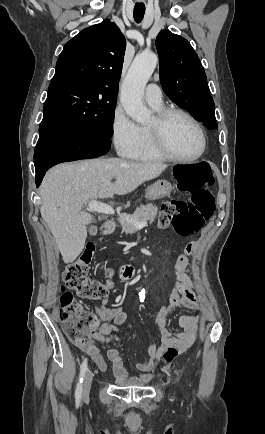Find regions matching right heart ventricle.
I'll list each match as a JSON object with an SVG mask.
<instances>
[{
	"instance_id": "1",
	"label": "right heart ventricle",
	"mask_w": 265,
	"mask_h": 434,
	"mask_svg": "<svg viewBox=\"0 0 265 434\" xmlns=\"http://www.w3.org/2000/svg\"><path fill=\"white\" fill-rule=\"evenodd\" d=\"M156 112H160L163 108L162 104L152 106ZM140 129V142L135 149L134 154H130L128 159L132 161L144 163H162L168 159L158 150L156 146L155 136L151 128V124L141 125Z\"/></svg>"
}]
</instances>
